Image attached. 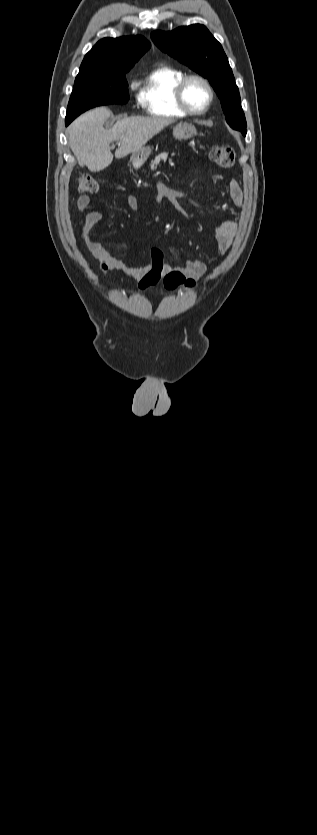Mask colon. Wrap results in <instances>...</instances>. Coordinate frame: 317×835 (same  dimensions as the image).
Masks as SVG:
<instances>
[{"instance_id": "1", "label": "colon", "mask_w": 317, "mask_h": 835, "mask_svg": "<svg viewBox=\"0 0 317 835\" xmlns=\"http://www.w3.org/2000/svg\"><path fill=\"white\" fill-rule=\"evenodd\" d=\"M210 156L218 166L223 168L231 167L235 160V153L230 145H219L215 147ZM78 190L84 194H94L99 191V183L91 175L83 174L78 178ZM163 285L169 290L177 288L193 290L196 282L193 279L187 278L178 269L170 268L163 275Z\"/></svg>"}]
</instances>
